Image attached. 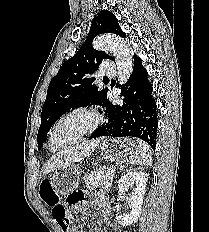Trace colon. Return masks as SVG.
Wrapping results in <instances>:
<instances>
[{"label": "colon", "mask_w": 209, "mask_h": 232, "mask_svg": "<svg viewBox=\"0 0 209 232\" xmlns=\"http://www.w3.org/2000/svg\"><path fill=\"white\" fill-rule=\"evenodd\" d=\"M70 194V193H69ZM41 199L51 208L52 216L57 221L59 226L66 229L69 226V218L64 209V203H61L59 196L53 190L50 181L45 180L41 184L40 188Z\"/></svg>", "instance_id": "colon-1"}]
</instances>
